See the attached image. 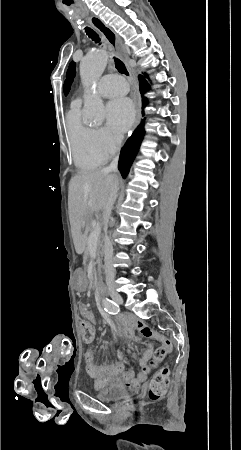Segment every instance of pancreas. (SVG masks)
<instances>
[{
    "instance_id": "obj_1",
    "label": "pancreas",
    "mask_w": 241,
    "mask_h": 450,
    "mask_svg": "<svg viewBox=\"0 0 241 450\" xmlns=\"http://www.w3.org/2000/svg\"><path fill=\"white\" fill-rule=\"evenodd\" d=\"M89 232H92V230H89ZM86 234H88L87 230H86ZM97 248H98L97 254H98V256H99V254H100V248H101L100 238H98V240H97Z\"/></svg>"
}]
</instances>
